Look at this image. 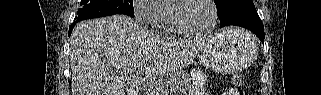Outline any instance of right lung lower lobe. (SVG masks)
<instances>
[{"label":"right lung lower lobe","mask_w":321,"mask_h":95,"mask_svg":"<svg viewBox=\"0 0 321 95\" xmlns=\"http://www.w3.org/2000/svg\"><path fill=\"white\" fill-rule=\"evenodd\" d=\"M76 22H74L73 24L70 25V27H69V35L71 34L72 29H73L74 25L76 24Z\"/></svg>","instance_id":"right-lung-lower-lobe-1"}]
</instances>
